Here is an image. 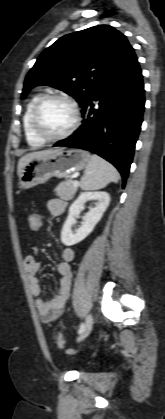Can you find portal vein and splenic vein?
<instances>
[{
	"label": "portal vein and splenic vein",
	"mask_w": 165,
	"mask_h": 419,
	"mask_svg": "<svg viewBox=\"0 0 165 419\" xmlns=\"http://www.w3.org/2000/svg\"><path fill=\"white\" fill-rule=\"evenodd\" d=\"M73 185H74V186H78V185H79V182H78L77 180H74V181H73Z\"/></svg>",
	"instance_id": "18ae733b"
}]
</instances>
